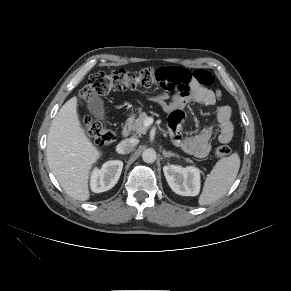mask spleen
Segmentation results:
<instances>
[{"label": "spleen", "mask_w": 291, "mask_h": 291, "mask_svg": "<svg viewBox=\"0 0 291 291\" xmlns=\"http://www.w3.org/2000/svg\"><path fill=\"white\" fill-rule=\"evenodd\" d=\"M240 168L237 152L221 158L207 175L200 194L199 205H209L224 196L234 183Z\"/></svg>", "instance_id": "obj_1"}]
</instances>
